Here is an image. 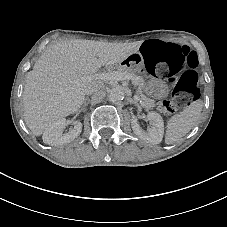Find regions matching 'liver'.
I'll return each instance as SVG.
<instances>
[{"label": "liver", "instance_id": "1", "mask_svg": "<svg viewBox=\"0 0 227 227\" xmlns=\"http://www.w3.org/2000/svg\"><path fill=\"white\" fill-rule=\"evenodd\" d=\"M140 43L113 44L72 40L48 46L26 75L23 91L24 120L39 136L59 118L77 112L86 89L102 80L92 76L103 66L117 65L138 52Z\"/></svg>", "mask_w": 227, "mask_h": 227}]
</instances>
